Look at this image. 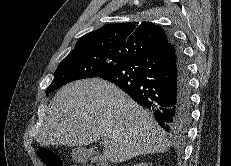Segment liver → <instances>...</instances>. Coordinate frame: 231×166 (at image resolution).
Here are the masks:
<instances>
[{"label":"liver","instance_id":"6515ba94","mask_svg":"<svg viewBox=\"0 0 231 166\" xmlns=\"http://www.w3.org/2000/svg\"><path fill=\"white\" fill-rule=\"evenodd\" d=\"M99 139L109 140L103 156L112 163L170 148L151 113L114 84L93 78L62 87L49 104L36 141L42 146H77Z\"/></svg>","mask_w":231,"mask_h":166}]
</instances>
